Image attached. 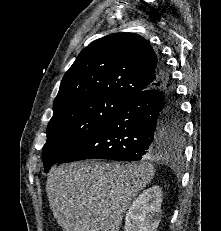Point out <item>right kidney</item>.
<instances>
[{
  "instance_id": "1",
  "label": "right kidney",
  "mask_w": 221,
  "mask_h": 231,
  "mask_svg": "<svg viewBox=\"0 0 221 231\" xmlns=\"http://www.w3.org/2000/svg\"><path fill=\"white\" fill-rule=\"evenodd\" d=\"M162 196L157 185L144 190L126 213L125 231H156L161 220Z\"/></svg>"
}]
</instances>
